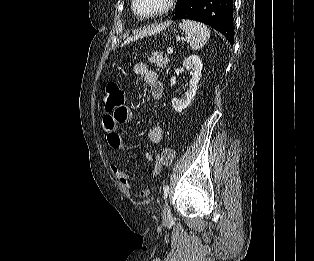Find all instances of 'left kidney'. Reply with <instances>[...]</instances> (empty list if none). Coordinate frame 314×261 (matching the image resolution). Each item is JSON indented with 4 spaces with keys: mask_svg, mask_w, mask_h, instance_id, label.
<instances>
[{
    "mask_svg": "<svg viewBox=\"0 0 314 261\" xmlns=\"http://www.w3.org/2000/svg\"><path fill=\"white\" fill-rule=\"evenodd\" d=\"M183 66L186 70L190 71L192 78L189 81V89L186 91L184 97L181 99L173 98L171 101L172 107L176 112H182L191 104L196 95L203 68L202 61L197 55H190L184 60Z\"/></svg>",
    "mask_w": 314,
    "mask_h": 261,
    "instance_id": "left-kidney-1",
    "label": "left kidney"
}]
</instances>
